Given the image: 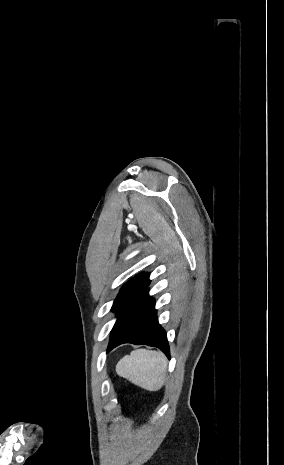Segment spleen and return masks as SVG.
I'll return each mask as SVG.
<instances>
[{"label":"spleen","mask_w":284,"mask_h":465,"mask_svg":"<svg viewBox=\"0 0 284 465\" xmlns=\"http://www.w3.org/2000/svg\"><path fill=\"white\" fill-rule=\"evenodd\" d=\"M115 371L119 377L128 379L146 391H159L164 385L167 359L158 351L136 349L120 359Z\"/></svg>","instance_id":"3e777b00"}]
</instances>
